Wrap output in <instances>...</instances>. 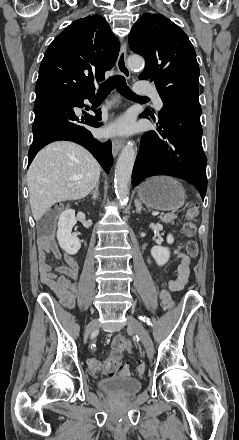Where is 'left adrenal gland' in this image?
<instances>
[{
    "mask_svg": "<svg viewBox=\"0 0 239 440\" xmlns=\"http://www.w3.org/2000/svg\"><path fill=\"white\" fill-rule=\"evenodd\" d=\"M141 210H143V208H141L139 202H136V212H137V214H141Z\"/></svg>",
    "mask_w": 239,
    "mask_h": 440,
    "instance_id": "1",
    "label": "left adrenal gland"
}]
</instances>
